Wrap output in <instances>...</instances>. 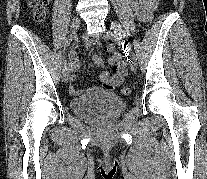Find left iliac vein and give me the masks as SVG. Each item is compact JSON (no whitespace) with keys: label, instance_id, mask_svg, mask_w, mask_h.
<instances>
[{"label":"left iliac vein","instance_id":"1","mask_svg":"<svg viewBox=\"0 0 207 179\" xmlns=\"http://www.w3.org/2000/svg\"><path fill=\"white\" fill-rule=\"evenodd\" d=\"M105 27H107L108 30H112L113 29V26L110 23L105 24ZM104 37L109 39V40H114V41L117 40L116 34H113V33L109 32V31H107L104 34ZM128 57H130L129 53H128ZM129 61L131 62V64H130L131 70L136 72V70H137V59H136L134 54H133V57L129 58Z\"/></svg>","mask_w":207,"mask_h":179}]
</instances>
